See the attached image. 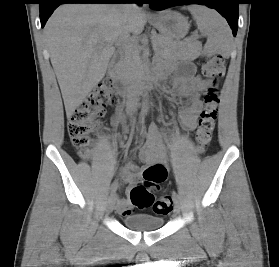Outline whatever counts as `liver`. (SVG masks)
I'll use <instances>...</instances> for the list:
<instances>
[{
    "label": "liver",
    "mask_w": 279,
    "mask_h": 267,
    "mask_svg": "<svg viewBox=\"0 0 279 267\" xmlns=\"http://www.w3.org/2000/svg\"><path fill=\"white\" fill-rule=\"evenodd\" d=\"M120 5L65 4L44 28L68 118L105 76L114 44L128 42L146 24L140 9L126 16Z\"/></svg>",
    "instance_id": "1"
}]
</instances>
